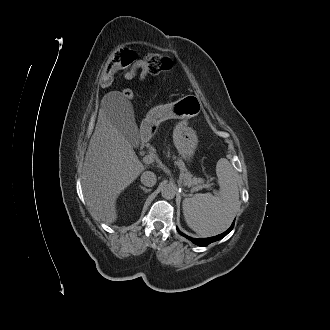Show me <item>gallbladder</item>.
Returning a JSON list of instances; mask_svg holds the SVG:
<instances>
[{
    "label": "gallbladder",
    "mask_w": 330,
    "mask_h": 330,
    "mask_svg": "<svg viewBox=\"0 0 330 330\" xmlns=\"http://www.w3.org/2000/svg\"><path fill=\"white\" fill-rule=\"evenodd\" d=\"M115 122L117 127L122 130L125 137L131 142L137 134L133 107L131 103L125 101L114 107Z\"/></svg>",
    "instance_id": "1"
}]
</instances>
